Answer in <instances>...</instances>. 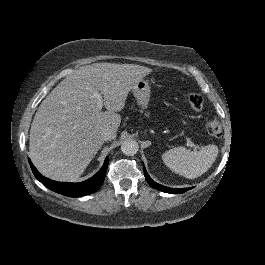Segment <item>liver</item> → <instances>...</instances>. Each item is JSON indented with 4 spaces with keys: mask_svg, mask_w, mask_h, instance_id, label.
Returning <instances> with one entry per match:
<instances>
[{
    "mask_svg": "<svg viewBox=\"0 0 265 265\" xmlns=\"http://www.w3.org/2000/svg\"><path fill=\"white\" fill-rule=\"evenodd\" d=\"M152 69L135 64L94 63L62 80L42 101L29 135V155L46 177L74 181L102 147V131L116 132L121 111L132 87ZM103 95L97 109L93 92Z\"/></svg>",
    "mask_w": 265,
    "mask_h": 265,
    "instance_id": "liver-1",
    "label": "liver"
}]
</instances>
